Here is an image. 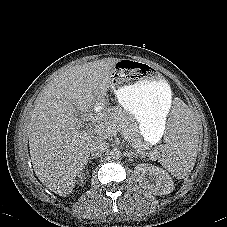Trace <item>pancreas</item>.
Masks as SVG:
<instances>
[{
    "label": "pancreas",
    "mask_w": 227,
    "mask_h": 227,
    "mask_svg": "<svg viewBox=\"0 0 227 227\" xmlns=\"http://www.w3.org/2000/svg\"><path fill=\"white\" fill-rule=\"evenodd\" d=\"M100 125L112 132L121 131L123 136L140 150L148 147V144L141 142L137 123L123 109H108Z\"/></svg>",
    "instance_id": "pancreas-1"
}]
</instances>
